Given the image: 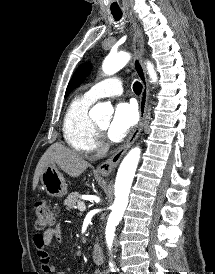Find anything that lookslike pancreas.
Wrapping results in <instances>:
<instances>
[{"label":"pancreas","mask_w":215,"mask_h":274,"mask_svg":"<svg viewBox=\"0 0 215 274\" xmlns=\"http://www.w3.org/2000/svg\"><path fill=\"white\" fill-rule=\"evenodd\" d=\"M81 202L80 195L78 192H73L68 195V197L64 201V205H66V209L68 211L72 210L76 204Z\"/></svg>","instance_id":"obj_1"}]
</instances>
